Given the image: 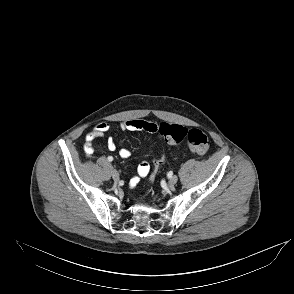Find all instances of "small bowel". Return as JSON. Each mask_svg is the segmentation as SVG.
Masks as SVG:
<instances>
[{"label": "small bowel", "instance_id": "small-bowel-1", "mask_svg": "<svg viewBox=\"0 0 294 294\" xmlns=\"http://www.w3.org/2000/svg\"><path fill=\"white\" fill-rule=\"evenodd\" d=\"M148 122L143 120H126L120 124V128L124 131H140L146 130L145 127ZM110 125L108 123H98L95 127L86 135L84 152L87 156H92L94 153L93 143L98 138L104 137L105 134L109 131ZM107 147L109 150L113 151L116 149L115 140L112 137L107 139ZM119 154L122 158H128L130 156V151L127 148H122L119 151ZM150 165L146 161H142L138 165V176L131 178L130 186L134 187L138 184L140 178L146 177L149 174Z\"/></svg>", "mask_w": 294, "mask_h": 294}]
</instances>
